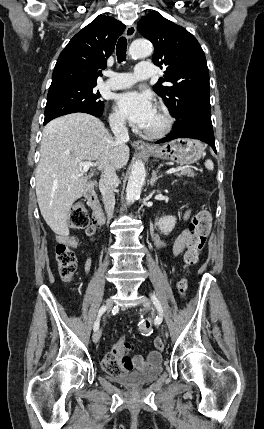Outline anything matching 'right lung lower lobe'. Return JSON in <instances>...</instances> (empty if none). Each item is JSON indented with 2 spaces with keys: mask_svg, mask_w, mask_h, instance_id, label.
Instances as JSON below:
<instances>
[{
  "mask_svg": "<svg viewBox=\"0 0 264 429\" xmlns=\"http://www.w3.org/2000/svg\"><path fill=\"white\" fill-rule=\"evenodd\" d=\"M91 115H92V114H91ZM94 116H96V115H94ZM96 117H101V116H96ZM47 123H48V122H44V125H45V124H47Z\"/></svg>",
  "mask_w": 264,
  "mask_h": 429,
  "instance_id": "obj_1",
  "label": "right lung lower lobe"
}]
</instances>
